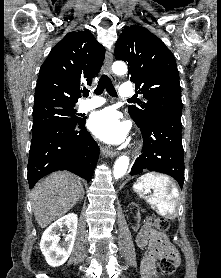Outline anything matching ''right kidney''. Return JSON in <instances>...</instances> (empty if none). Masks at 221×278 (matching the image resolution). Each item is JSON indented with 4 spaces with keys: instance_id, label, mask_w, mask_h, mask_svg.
<instances>
[{
    "instance_id": "1",
    "label": "right kidney",
    "mask_w": 221,
    "mask_h": 278,
    "mask_svg": "<svg viewBox=\"0 0 221 278\" xmlns=\"http://www.w3.org/2000/svg\"><path fill=\"white\" fill-rule=\"evenodd\" d=\"M77 224L78 217L76 214L72 213L54 222L43 233L40 242V249L50 266H61L69 258L76 238ZM64 225L69 228L70 233L66 235L64 241L60 242V237L57 235V231Z\"/></svg>"
}]
</instances>
